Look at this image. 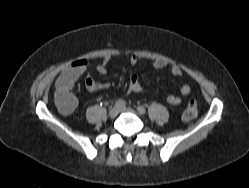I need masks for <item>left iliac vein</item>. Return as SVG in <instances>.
Returning <instances> with one entry per match:
<instances>
[{
  "label": "left iliac vein",
  "mask_w": 249,
  "mask_h": 188,
  "mask_svg": "<svg viewBox=\"0 0 249 188\" xmlns=\"http://www.w3.org/2000/svg\"><path fill=\"white\" fill-rule=\"evenodd\" d=\"M120 112H128V113H133V114H138L137 111H135L133 108L131 107H121L119 109Z\"/></svg>",
  "instance_id": "1"
}]
</instances>
